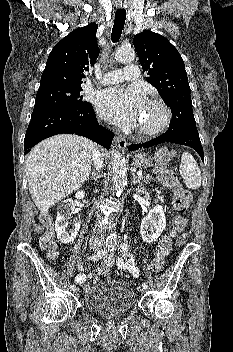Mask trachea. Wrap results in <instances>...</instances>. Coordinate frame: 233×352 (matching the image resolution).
Segmentation results:
<instances>
[{"instance_id":"3493384b","label":"trachea","mask_w":233,"mask_h":352,"mask_svg":"<svg viewBox=\"0 0 233 352\" xmlns=\"http://www.w3.org/2000/svg\"><path fill=\"white\" fill-rule=\"evenodd\" d=\"M126 19V10L118 9L115 14V21L111 33V40L113 43H117L120 40L122 30L124 28Z\"/></svg>"}]
</instances>
